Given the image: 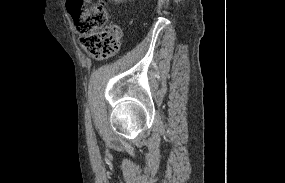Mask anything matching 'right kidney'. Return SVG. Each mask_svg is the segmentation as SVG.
<instances>
[{
	"label": "right kidney",
	"instance_id": "ca27d5eb",
	"mask_svg": "<svg viewBox=\"0 0 285 183\" xmlns=\"http://www.w3.org/2000/svg\"><path fill=\"white\" fill-rule=\"evenodd\" d=\"M123 1H125V0H114V2H116V3H120V2H123Z\"/></svg>",
	"mask_w": 285,
	"mask_h": 183
}]
</instances>
